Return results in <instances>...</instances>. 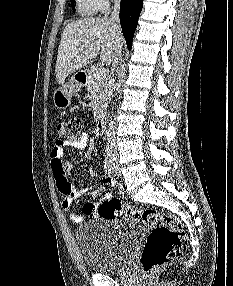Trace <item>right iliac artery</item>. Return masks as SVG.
I'll return each mask as SVG.
<instances>
[{"label": "right iliac artery", "instance_id": "82829eb1", "mask_svg": "<svg viewBox=\"0 0 233 286\" xmlns=\"http://www.w3.org/2000/svg\"><path fill=\"white\" fill-rule=\"evenodd\" d=\"M111 159L109 158V155L106 157L105 161H104V169L105 172L110 175L111 174V169H112V164H111Z\"/></svg>", "mask_w": 233, "mask_h": 286}]
</instances>
